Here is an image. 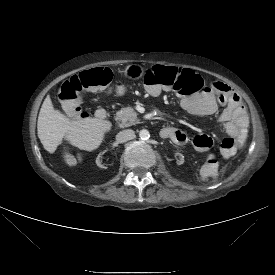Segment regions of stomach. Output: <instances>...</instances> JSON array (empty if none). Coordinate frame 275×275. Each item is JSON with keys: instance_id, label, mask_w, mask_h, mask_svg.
Segmentation results:
<instances>
[{"instance_id": "obj_1", "label": "stomach", "mask_w": 275, "mask_h": 275, "mask_svg": "<svg viewBox=\"0 0 275 275\" xmlns=\"http://www.w3.org/2000/svg\"><path fill=\"white\" fill-rule=\"evenodd\" d=\"M123 73L129 80H135L143 75L144 69L140 65L131 64L124 69Z\"/></svg>"}]
</instances>
